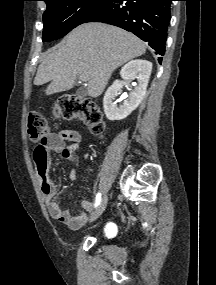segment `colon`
Wrapping results in <instances>:
<instances>
[{
  "label": "colon",
  "mask_w": 216,
  "mask_h": 285,
  "mask_svg": "<svg viewBox=\"0 0 216 285\" xmlns=\"http://www.w3.org/2000/svg\"><path fill=\"white\" fill-rule=\"evenodd\" d=\"M55 117L65 120L79 118L90 128L93 134L102 136L105 131V121L97 104L90 99H74L63 97L54 107ZM49 134L46 116L39 111H32L28 116V135L37 143V147L44 148Z\"/></svg>",
  "instance_id": "1"
}]
</instances>
